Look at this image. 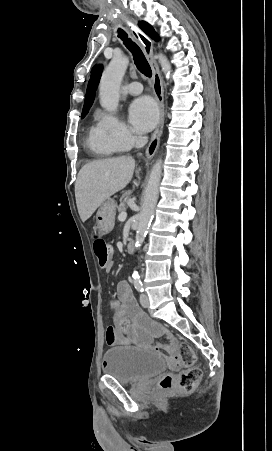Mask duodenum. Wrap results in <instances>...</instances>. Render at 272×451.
<instances>
[{"mask_svg":"<svg viewBox=\"0 0 272 451\" xmlns=\"http://www.w3.org/2000/svg\"><path fill=\"white\" fill-rule=\"evenodd\" d=\"M127 249H128V251H132V250L134 249V242H133V241H130V242L128 243Z\"/></svg>","mask_w":272,"mask_h":451,"instance_id":"duodenum-1","label":"duodenum"}]
</instances>
